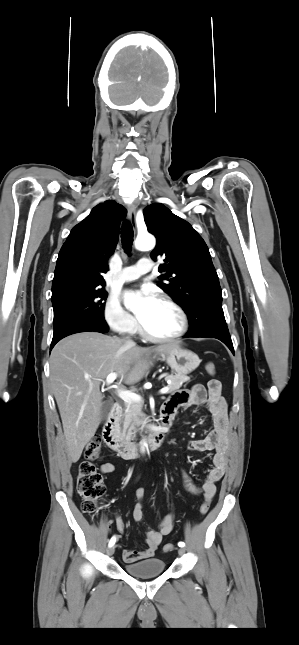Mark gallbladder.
<instances>
[{
	"label": "gallbladder",
	"mask_w": 299,
	"mask_h": 645,
	"mask_svg": "<svg viewBox=\"0 0 299 645\" xmlns=\"http://www.w3.org/2000/svg\"><path fill=\"white\" fill-rule=\"evenodd\" d=\"M112 408V403L110 401H105L101 408V418L105 419Z\"/></svg>",
	"instance_id": "obj_1"
}]
</instances>
